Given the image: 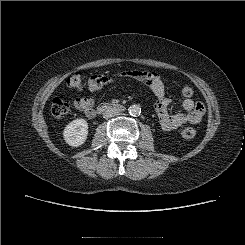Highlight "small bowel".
Masks as SVG:
<instances>
[{
    "instance_id": "c3829d8e",
    "label": "small bowel",
    "mask_w": 245,
    "mask_h": 245,
    "mask_svg": "<svg viewBox=\"0 0 245 245\" xmlns=\"http://www.w3.org/2000/svg\"><path fill=\"white\" fill-rule=\"evenodd\" d=\"M119 78H131L143 82L156 98L155 110L162 130L171 131L181 127L184 124L199 123L204 114L205 106L202 102H195L191 98H185L182 101V107L186 113L170 114L167 111L170 99L165 95V82L155 72L144 70H130L114 75H94L88 81V89L96 91L103 85ZM98 81V85H96ZM76 108L88 117L94 114L95 101L90 97H79L75 100Z\"/></svg>"
}]
</instances>
